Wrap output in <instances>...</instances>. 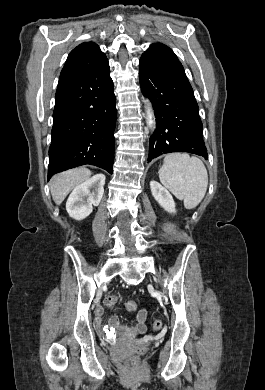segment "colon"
I'll list each match as a JSON object with an SVG mask.
<instances>
[{
  "label": "colon",
  "mask_w": 265,
  "mask_h": 390,
  "mask_svg": "<svg viewBox=\"0 0 265 390\" xmlns=\"http://www.w3.org/2000/svg\"><path fill=\"white\" fill-rule=\"evenodd\" d=\"M119 301L120 299L118 296L111 295L105 299V304L110 308H114L118 305ZM137 307V303L134 300H129L126 302V309L130 312L136 311ZM152 327L154 330H160L162 328V321L155 320Z\"/></svg>",
  "instance_id": "5ec220e1"
}]
</instances>
